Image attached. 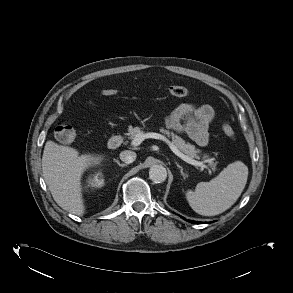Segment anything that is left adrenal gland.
<instances>
[{
  "label": "left adrenal gland",
  "instance_id": "1",
  "mask_svg": "<svg viewBox=\"0 0 293 293\" xmlns=\"http://www.w3.org/2000/svg\"><path fill=\"white\" fill-rule=\"evenodd\" d=\"M176 165L180 169V172H181V175L183 176V178L186 179L188 177V175L186 173H184L183 167L180 166L177 162H176Z\"/></svg>",
  "mask_w": 293,
  "mask_h": 293
}]
</instances>
